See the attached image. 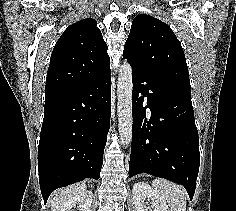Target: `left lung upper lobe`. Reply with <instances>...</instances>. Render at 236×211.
I'll return each mask as SVG.
<instances>
[{"instance_id": "obj_1", "label": "left lung upper lobe", "mask_w": 236, "mask_h": 211, "mask_svg": "<svg viewBox=\"0 0 236 211\" xmlns=\"http://www.w3.org/2000/svg\"><path fill=\"white\" fill-rule=\"evenodd\" d=\"M123 58L133 69L147 72L183 92L191 94L189 73L182 46L162 21L140 14L132 22Z\"/></svg>"}]
</instances>
